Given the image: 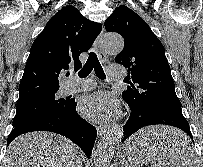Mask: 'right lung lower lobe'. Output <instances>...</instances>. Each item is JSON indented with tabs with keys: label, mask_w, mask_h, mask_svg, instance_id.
Listing matches in <instances>:
<instances>
[{
	"label": "right lung lower lobe",
	"mask_w": 203,
	"mask_h": 167,
	"mask_svg": "<svg viewBox=\"0 0 203 167\" xmlns=\"http://www.w3.org/2000/svg\"><path fill=\"white\" fill-rule=\"evenodd\" d=\"M32 131H50L61 134L76 143L90 158L97 136L96 128L81 118L72 99L71 106L61 112L38 117L14 127L7 138L8 145L17 136Z\"/></svg>",
	"instance_id": "98d812e1"
}]
</instances>
